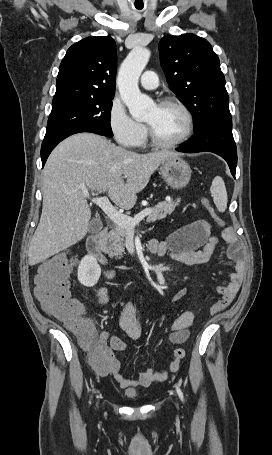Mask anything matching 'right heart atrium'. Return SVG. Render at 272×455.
<instances>
[{
  "label": "right heart atrium",
  "mask_w": 272,
  "mask_h": 455,
  "mask_svg": "<svg viewBox=\"0 0 272 455\" xmlns=\"http://www.w3.org/2000/svg\"><path fill=\"white\" fill-rule=\"evenodd\" d=\"M108 125L116 142L125 148L139 146L146 134L145 126L129 115L125 105L118 98L111 101Z\"/></svg>",
  "instance_id": "1"
}]
</instances>
